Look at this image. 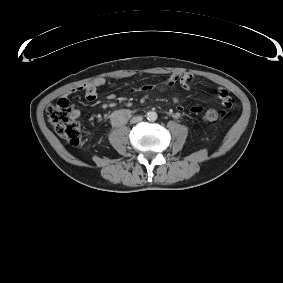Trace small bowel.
<instances>
[{
    "label": "small bowel",
    "instance_id": "1",
    "mask_svg": "<svg viewBox=\"0 0 283 283\" xmlns=\"http://www.w3.org/2000/svg\"><path fill=\"white\" fill-rule=\"evenodd\" d=\"M194 81V76L191 73H173L168 78L163 80L159 84H148L136 89H133L134 92H144L148 93L154 91L158 88H171L176 84H179L183 89L190 90ZM105 85V79L102 77H96L90 80L83 85H80L74 89H72L71 93H83L86 100L92 102L95 101L98 97V89ZM217 96L221 101V105L224 109H229L231 107V99L226 89L218 88ZM203 111V107L200 105H194L190 108V112L193 114H199ZM177 114H181L184 112V107L182 105H178L176 107ZM81 112L79 109L73 110V116L75 118H79Z\"/></svg>",
    "mask_w": 283,
    "mask_h": 283
}]
</instances>
